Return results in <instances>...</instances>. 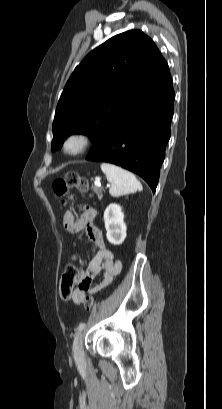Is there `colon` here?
<instances>
[{"label":"colon","instance_id":"1","mask_svg":"<svg viewBox=\"0 0 222 409\" xmlns=\"http://www.w3.org/2000/svg\"><path fill=\"white\" fill-rule=\"evenodd\" d=\"M52 188L54 193L61 199V203L63 205H69L72 202V197L70 194L71 190L76 189L80 192L86 193L89 191V184L85 178L79 176L77 173L69 172L63 178L56 179L53 182ZM82 263L81 258H76L75 263L69 264L65 268L59 287L61 298L67 300L71 297L75 287L73 271L75 269H81L80 267ZM93 302L94 300L91 296L86 298L84 304L86 311L92 310Z\"/></svg>","mask_w":222,"mask_h":409}]
</instances>
